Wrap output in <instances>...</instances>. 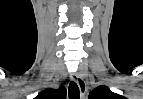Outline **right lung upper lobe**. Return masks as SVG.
Wrapping results in <instances>:
<instances>
[{
    "label": "right lung upper lobe",
    "mask_w": 143,
    "mask_h": 99,
    "mask_svg": "<svg viewBox=\"0 0 143 99\" xmlns=\"http://www.w3.org/2000/svg\"><path fill=\"white\" fill-rule=\"evenodd\" d=\"M66 89L61 86L59 89H46L38 94L35 99H65Z\"/></svg>",
    "instance_id": "1"
}]
</instances>
